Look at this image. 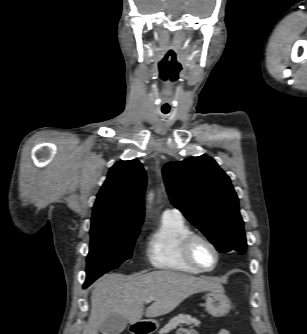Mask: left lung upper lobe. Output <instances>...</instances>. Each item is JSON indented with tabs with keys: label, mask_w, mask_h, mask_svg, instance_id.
<instances>
[{
	"label": "left lung upper lobe",
	"mask_w": 307,
	"mask_h": 334,
	"mask_svg": "<svg viewBox=\"0 0 307 334\" xmlns=\"http://www.w3.org/2000/svg\"><path fill=\"white\" fill-rule=\"evenodd\" d=\"M172 204L219 252L243 254L247 243L230 178L209 156L168 162L163 168Z\"/></svg>",
	"instance_id": "1"
}]
</instances>
